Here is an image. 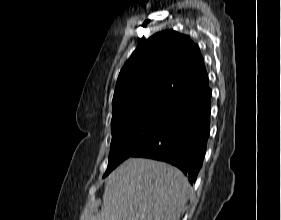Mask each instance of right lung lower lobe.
Instances as JSON below:
<instances>
[{"instance_id":"obj_1","label":"right lung lower lobe","mask_w":281,"mask_h":220,"mask_svg":"<svg viewBox=\"0 0 281 220\" xmlns=\"http://www.w3.org/2000/svg\"><path fill=\"white\" fill-rule=\"evenodd\" d=\"M211 94L209 89L179 105L131 156L168 162L188 176L191 184L195 183L209 137Z\"/></svg>"}]
</instances>
